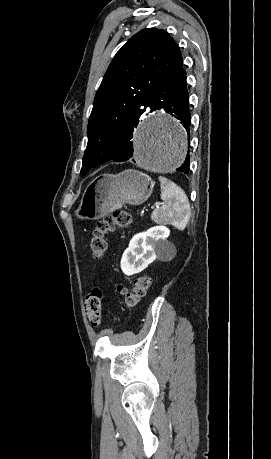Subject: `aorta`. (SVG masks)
<instances>
[{"instance_id":"1","label":"aorta","mask_w":271,"mask_h":459,"mask_svg":"<svg viewBox=\"0 0 271 459\" xmlns=\"http://www.w3.org/2000/svg\"><path fill=\"white\" fill-rule=\"evenodd\" d=\"M187 152L184 128L163 113L146 119L135 135L134 158L149 171H172L183 163Z\"/></svg>"}]
</instances>
